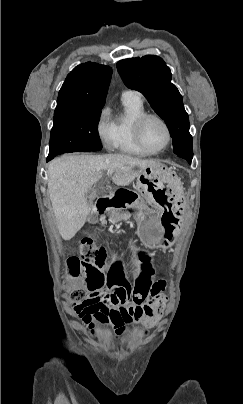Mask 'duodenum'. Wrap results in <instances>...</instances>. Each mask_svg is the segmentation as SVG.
Returning a JSON list of instances; mask_svg holds the SVG:
<instances>
[{"label":"duodenum","instance_id":"duodenum-1","mask_svg":"<svg viewBox=\"0 0 243 404\" xmlns=\"http://www.w3.org/2000/svg\"><path fill=\"white\" fill-rule=\"evenodd\" d=\"M137 199L136 193L125 188H117L112 194L101 197L96 201L95 209L98 214L106 210H123L131 207Z\"/></svg>","mask_w":243,"mask_h":404}]
</instances>
